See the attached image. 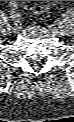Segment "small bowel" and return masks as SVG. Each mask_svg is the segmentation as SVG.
Wrapping results in <instances>:
<instances>
[{"instance_id": "1", "label": "small bowel", "mask_w": 74, "mask_h": 122, "mask_svg": "<svg viewBox=\"0 0 74 122\" xmlns=\"http://www.w3.org/2000/svg\"><path fill=\"white\" fill-rule=\"evenodd\" d=\"M11 4L14 5L15 4V1H12Z\"/></svg>"}]
</instances>
